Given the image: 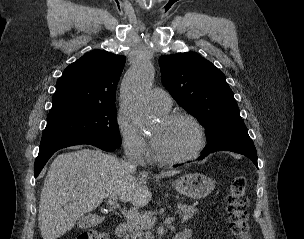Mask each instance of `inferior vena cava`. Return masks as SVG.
I'll return each mask as SVG.
<instances>
[{
    "label": "inferior vena cava",
    "instance_id": "1",
    "mask_svg": "<svg viewBox=\"0 0 304 239\" xmlns=\"http://www.w3.org/2000/svg\"><path fill=\"white\" fill-rule=\"evenodd\" d=\"M125 155H126V162L127 165L132 168L136 169L137 166H144V160L141 154V151L138 147L132 145L125 146Z\"/></svg>",
    "mask_w": 304,
    "mask_h": 239
}]
</instances>
